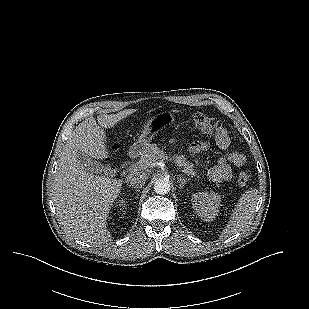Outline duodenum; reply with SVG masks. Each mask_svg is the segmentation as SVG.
<instances>
[{"label": "duodenum", "instance_id": "410a0bca", "mask_svg": "<svg viewBox=\"0 0 309 309\" xmlns=\"http://www.w3.org/2000/svg\"><path fill=\"white\" fill-rule=\"evenodd\" d=\"M137 154H138V151H137L136 148H131V149L129 150V157H130L131 159H134V158L137 156Z\"/></svg>", "mask_w": 309, "mask_h": 309}]
</instances>
